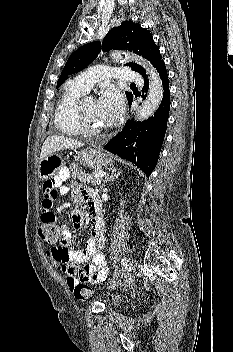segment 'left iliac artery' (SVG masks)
Here are the masks:
<instances>
[{"instance_id":"44dca946","label":"left iliac artery","mask_w":233,"mask_h":352,"mask_svg":"<svg viewBox=\"0 0 233 352\" xmlns=\"http://www.w3.org/2000/svg\"><path fill=\"white\" fill-rule=\"evenodd\" d=\"M121 264L126 267L129 266V259L127 257L122 258Z\"/></svg>"}]
</instances>
